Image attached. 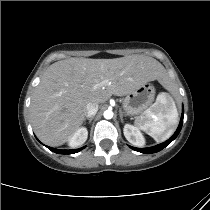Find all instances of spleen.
<instances>
[{
  "mask_svg": "<svg viewBox=\"0 0 210 210\" xmlns=\"http://www.w3.org/2000/svg\"><path fill=\"white\" fill-rule=\"evenodd\" d=\"M166 87L172 90L168 81ZM135 124L157 142L170 138L178 124V111L173 97L165 92L158 94L155 103L136 119Z\"/></svg>",
  "mask_w": 210,
  "mask_h": 210,
  "instance_id": "obj_1",
  "label": "spleen"
}]
</instances>
